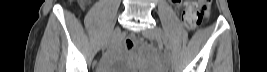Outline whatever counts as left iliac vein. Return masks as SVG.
Listing matches in <instances>:
<instances>
[{"instance_id":"4c4485c4","label":"left iliac vein","mask_w":267,"mask_h":72,"mask_svg":"<svg viewBox=\"0 0 267 72\" xmlns=\"http://www.w3.org/2000/svg\"><path fill=\"white\" fill-rule=\"evenodd\" d=\"M143 35L150 40H157L160 48L161 49L163 48V43L161 41L159 28L153 27V28L146 29L143 31ZM165 60H166L167 65L170 67L171 66L170 59L167 56H165Z\"/></svg>"}]
</instances>
